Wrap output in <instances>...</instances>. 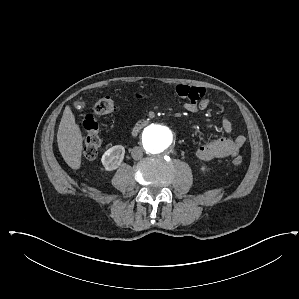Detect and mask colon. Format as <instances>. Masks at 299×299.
<instances>
[{"label": "colon", "mask_w": 299, "mask_h": 299, "mask_svg": "<svg viewBox=\"0 0 299 299\" xmlns=\"http://www.w3.org/2000/svg\"><path fill=\"white\" fill-rule=\"evenodd\" d=\"M116 104L114 98L105 96L100 98L93 107V112L84 115L82 125L85 131V140L83 146V155L86 159H95L100 151L102 141L100 137L99 125L96 116H103L114 112ZM234 166H240L243 163L241 156H235L232 160Z\"/></svg>", "instance_id": "1"}]
</instances>
